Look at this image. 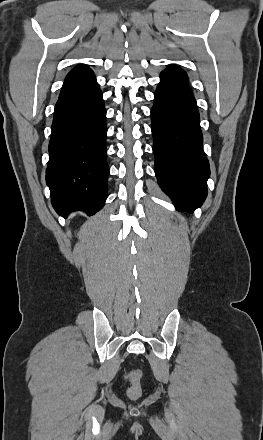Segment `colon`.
Returning <instances> with one entry per match:
<instances>
[{"label": "colon", "instance_id": "colon-1", "mask_svg": "<svg viewBox=\"0 0 263 440\" xmlns=\"http://www.w3.org/2000/svg\"><path fill=\"white\" fill-rule=\"evenodd\" d=\"M130 379L133 382L132 387L129 390V396L131 398H136L139 396V387L137 385V382L140 379V372L139 371H133L130 374Z\"/></svg>", "mask_w": 263, "mask_h": 440}]
</instances>
